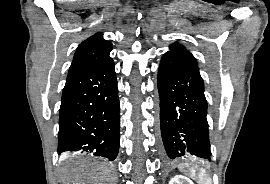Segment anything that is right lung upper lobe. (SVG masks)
<instances>
[{"label": "right lung upper lobe", "mask_w": 270, "mask_h": 184, "mask_svg": "<svg viewBox=\"0 0 270 184\" xmlns=\"http://www.w3.org/2000/svg\"><path fill=\"white\" fill-rule=\"evenodd\" d=\"M111 49V42L104 40L101 32L95 33L78 46L68 74L112 61Z\"/></svg>", "instance_id": "cb5924a9"}]
</instances>
